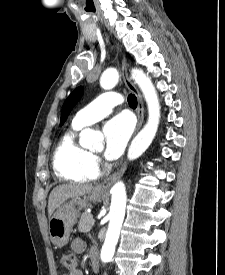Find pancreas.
<instances>
[{"mask_svg":"<svg viewBox=\"0 0 225 275\" xmlns=\"http://www.w3.org/2000/svg\"><path fill=\"white\" fill-rule=\"evenodd\" d=\"M92 219V214L86 212L83 213L79 221L78 230L82 233L89 232L93 226Z\"/></svg>","mask_w":225,"mask_h":275,"instance_id":"cf45deb5","label":"pancreas"}]
</instances>
